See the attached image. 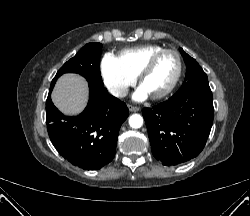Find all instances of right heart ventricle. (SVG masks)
Returning <instances> with one entry per match:
<instances>
[{
  "mask_svg": "<svg viewBox=\"0 0 250 216\" xmlns=\"http://www.w3.org/2000/svg\"><path fill=\"white\" fill-rule=\"evenodd\" d=\"M163 48L159 45H142L122 50L117 59L123 68L134 77H137L149 58Z\"/></svg>",
  "mask_w": 250,
  "mask_h": 216,
  "instance_id": "right-heart-ventricle-1",
  "label": "right heart ventricle"
}]
</instances>
